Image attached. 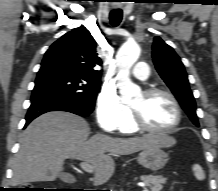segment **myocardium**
<instances>
[{"instance_id": "f54148a6", "label": "myocardium", "mask_w": 218, "mask_h": 191, "mask_svg": "<svg viewBox=\"0 0 218 191\" xmlns=\"http://www.w3.org/2000/svg\"><path fill=\"white\" fill-rule=\"evenodd\" d=\"M143 94L148 98L156 96V95H163L167 97L175 108L176 120L171 126L167 128H161V129L153 128V127H150L145 122L140 112L136 111L135 109L131 107L132 124L136 130L148 132L152 134H167V133L173 132L180 126L182 122V118H183L182 108H181L180 103L178 102V100L175 98V96L172 93L164 89L151 87V88L144 90Z\"/></svg>"}]
</instances>
